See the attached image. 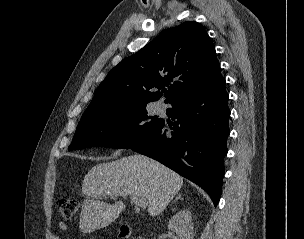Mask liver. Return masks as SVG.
<instances>
[{
  "label": "liver",
  "mask_w": 304,
  "mask_h": 239,
  "mask_svg": "<svg viewBox=\"0 0 304 239\" xmlns=\"http://www.w3.org/2000/svg\"><path fill=\"white\" fill-rule=\"evenodd\" d=\"M183 178L159 162L142 155L98 164L85 175L80 230L91 233L115 221L126 206L122 201L107 204L99 198L109 195L137 196L147 200L148 213L159 215L180 190Z\"/></svg>",
  "instance_id": "obj_1"
}]
</instances>
